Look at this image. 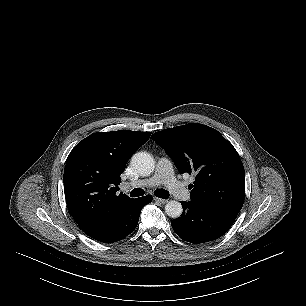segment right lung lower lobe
Returning <instances> with one entry per match:
<instances>
[{
    "mask_svg": "<svg viewBox=\"0 0 306 306\" xmlns=\"http://www.w3.org/2000/svg\"><path fill=\"white\" fill-rule=\"evenodd\" d=\"M151 201V195L132 198L107 226L90 235V237L105 243H112L125 238L136 228L142 208Z\"/></svg>",
    "mask_w": 306,
    "mask_h": 306,
    "instance_id": "98d812e1",
    "label": "right lung lower lobe"
}]
</instances>
